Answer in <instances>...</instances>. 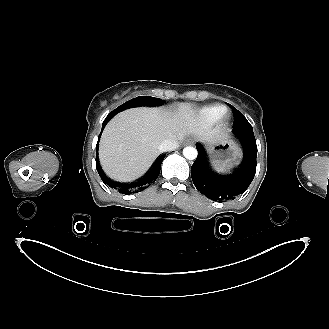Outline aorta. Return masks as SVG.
Instances as JSON below:
<instances>
[{
	"label": "aorta",
	"instance_id": "aorta-1",
	"mask_svg": "<svg viewBox=\"0 0 329 329\" xmlns=\"http://www.w3.org/2000/svg\"><path fill=\"white\" fill-rule=\"evenodd\" d=\"M183 155L188 160H194L197 157V150L191 146L185 147L183 149Z\"/></svg>",
	"mask_w": 329,
	"mask_h": 329
}]
</instances>
